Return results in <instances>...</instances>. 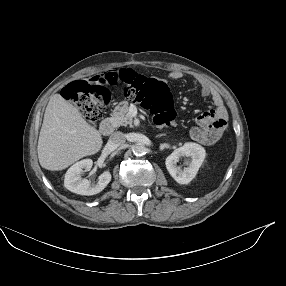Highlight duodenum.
<instances>
[{
	"mask_svg": "<svg viewBox=\"0 0 286 286\" xmlns=\"http://www.w3.org/2000/svg\"><path fill=\"white\" fill-rule=\"evenodd\" d=\"M114 130H115L114 121L110 118L104 119L100 126L101 134L104 136H110L113 134Z\"/></svg>",
	"mask_w": 286,
	"mask_h": 286,
	"instance_id": "obj_1",
	"label": "duodenum"
}]
</instances>
